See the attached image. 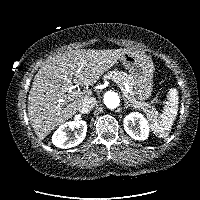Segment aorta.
Returning a JSON list of instances; mask_svg holds the SVG:
<instances>
[{"instance_id": "obj_1", "label": "aorta", "mask_w": 200, "mask_h": 200, "mask_svg": "<svg viewBox=\"0 0 200 200\" xmlns=\"http://www.w3.org/2000/svg\"><path fill=\"white\" fill-rule=\"evenodd\" d=\"M103 103L109 109H115L120 104V98L117 93L109 91L103 96Z\"/></svg>"}]
</instances>
